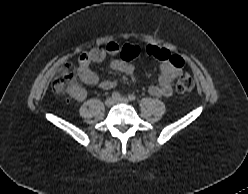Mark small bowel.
Masks as SVG:
<instances>
[{
	"label": "small bowel",
	"instance_id": "obj_1",
	"mask_svg": "<svg viewBox=\"0 0 248 194\" xmlns=\"http://www.w3.org/2000/svg\"><path fill=\"white\" fill-rule=\"evenodd\" d=\"M141 49L136 44H125L119 46L116 43H108L102 48H93L83 53L78 59V75L81 81L87 85L98 86L104 90L115 87V80H100L99 76L90 69L92 63L103 62L107 56L119 55L118 59L110 62V68L127 75H132L135 67L132 60L139 56ZM146 53L151 58L161 62V74L156 84L149 86V93L155 97H169L173 93V83L184 68V60L178 55H172L165 49L154 45L146 47ZM71 96L76 101H83L86 97V90L81 86H76L70 91Z\"/></svg>",
	"mask_w": 248,
	"mask_h": 194
}]
</instances>
